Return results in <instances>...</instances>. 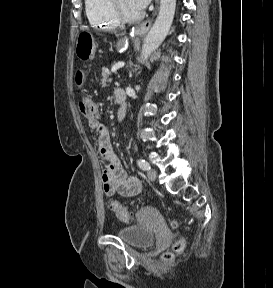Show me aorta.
Here are the masks:
<instances>
[{"instance_id": "1", "label": "aorta", "mask_w": 273, "mask_h": 288, "mask_svg": "<svg viewBox=\"0 0 273 288\" xmlns=\"http://www.w3.org/2000/svg\"><path fill=\"white\" fill-rule=\"evenodd\" d=\"M176 0H160L158 16L144 39L141 62L146 61L166 38L173 22Z\"/></svg>"}]
</instances>
